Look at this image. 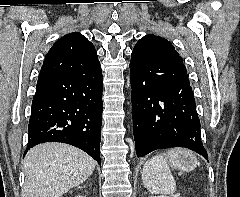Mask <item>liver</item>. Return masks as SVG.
Segmentation results:
<instances>
[{"label":"liver","mask_w":240,"mask_h":197,"mask_svg":"<svg viewBox=\"0 0 240 197\" xmlns=\"http://www.w3.org/2000/svg\"><path fill=\"white\" fill-rule=\"evenodd\" d=\"M22 164V197H61L83 183L93 173L96 162L72 145L48 142L30 149Z\"/></svg>","instance_id":"1"}]
</instances>
